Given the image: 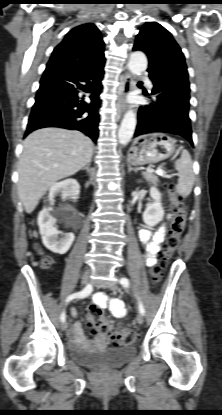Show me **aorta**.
Listing matches in <instances>:
<instances>
[{"instance_id": "1", "label": "aorta", "mask_w": 222, "mask_h": 415, "mask_svg": "<svg viewBox=\"0 0 222 415\" xmlns=\"http://www.w3.org/2000/svg\"><path fill=\"white\" fill-rule=\"evenodd\" d=\"M146 55L141 51L131 54L128 67L133 75H141L147 69ZM136 127V114L130 109L126 112L118 131V139L121 145H126L132 138Z\"/></svg>"}]
</instances>
